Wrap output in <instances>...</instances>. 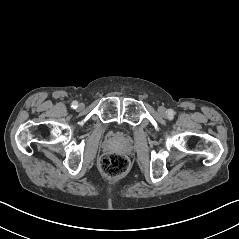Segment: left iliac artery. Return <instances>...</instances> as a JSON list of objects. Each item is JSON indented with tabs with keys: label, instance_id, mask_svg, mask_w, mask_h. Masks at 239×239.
Listing matches in <instances>:
<instances>
[{
	"label": "left iliac artery",
	"instance_id": "obj_1",
	"mask_svg": "<svg viewBox=\"0 0 239 239\" xmlns=\"http://www.w3.org/2000/svg\"><path fill=\"white\" fill-rule=\"evenodd\" d=\"M173 115H174V111H173V110H171V109H170V110H168V116H169V117H172Z\"/></svg>",
	"mask_w": 239,
	"mask_h": 239
}]
</instances>
